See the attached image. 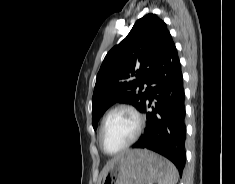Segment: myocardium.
<instances>
[{"label":"myocardium","instance_id":"obj_1","mask_svg":"<svg viewBox=\"0 0 235 184\" xmlns=\"http://www.w3.org/2000/svg\"><path fill=\"white\" fill-rule=\"evenodd\" d=\"M120 110H127L134 115V117L136 118V121H137L136 131H135L134 136L121 149H119L115 152H108L102 144V135L104 133V130H105L111 116ZM143 127H144V117H143L142 113L136 107H134L131 104H127V103L118 104V105L114 106L113 108H111L107 112V114L105 115V117L102 121L100 130H99V134H98V145H99L101 151L108 156L120 155L125 150H127L129 147H131L139 139V137L143 131Z\"/></svg>","mask_w":235,"mask_h":184}]
</instances>
